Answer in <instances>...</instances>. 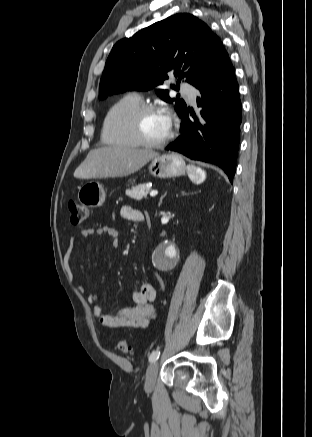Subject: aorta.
<instances>
[{
  "label": "aorta",
  "mask_w": 312,
  "mask_h": 437,
  "mask_svg": "<svg viewBox=\"0 0 312 437\" xmlns=\"http://www.w3.org/2000/svg\"><path fill=\"white\" fill-rule=\"evenodd\" d=\"M176 256V250L173 245L167 244L161 247L155 254L154 259L158 266L164 264V262L170 258Z\"/></svg>",
  "instance_id": "1"
}]
</instances>
